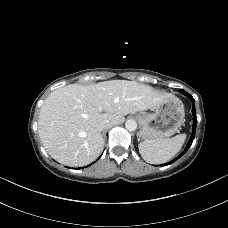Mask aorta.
<instances>
[{"label":"aorta","mask_w":228,"mask_h":228,"mask_svg":"<svg viewBox=\"0 0 228 228\" xmlns=\"http://www.w3.org/2000/svg\"><path fill=\"white\" fill-rule=\"evenodd\" d=\"M125 127L128 131H134L137 128V123L134 120L130 119L126 121Z\"/></svg>","instance_id":"obj_1"}]
</instances>
